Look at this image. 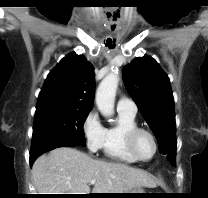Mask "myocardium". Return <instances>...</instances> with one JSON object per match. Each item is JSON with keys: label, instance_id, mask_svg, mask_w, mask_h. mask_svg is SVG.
<instances>
[{"label": "myocardium", "instance_id": "f54148a6", "mask_svg": "<svg viewBox=\"0 0 208 198\" xmlns=\"http://www.w3.org/2000/svg\"><path fill=\"white\" fill-rule=\"evenodd\" d=\"M140 133H146V134L149 135V136L151 137V139L153 140V143H154V153H153V155H152L151 157H149V158H144V157H142V156L138 153V151H137V149H136V139H137V137H138V135H139ZM126 143H127V147H128V149H129L130 153H131L138 161L148 162V161L152 160V159L156 156V154H157V152H158V147H159V146H158V140H157L155 134H154L151 130H149V129H147V128H144V127H139V126H137V127H135V128H132L131 130H129L128 133H127V136H126Z\"/></svg>", "mask_w": 208, "mask_h": 198}]
</instances>
